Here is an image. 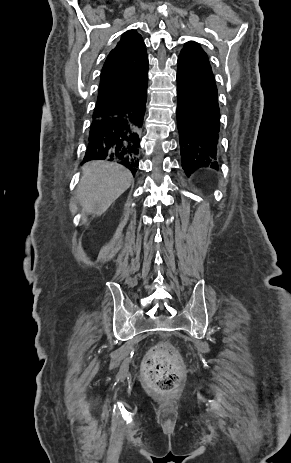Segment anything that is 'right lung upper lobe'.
<instances>
[{
    "instance_id": "1",
    "label": "right lung upper lobe",
    "mask_w": 291,
    "mask_h": 463,
    "mask_svg": "<svg viewBox=\"0 0 291 463\" xmlns=\"http://www.w3.org/2000/svg\"><path fill=\"white\" fill-rule=\"evenodd\" d=\"M148 76L146 46L135 30L125 32L109 53L102 71L93 120L103 118L138 90Z\"/></svg>"
}]
</instances>
